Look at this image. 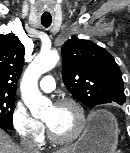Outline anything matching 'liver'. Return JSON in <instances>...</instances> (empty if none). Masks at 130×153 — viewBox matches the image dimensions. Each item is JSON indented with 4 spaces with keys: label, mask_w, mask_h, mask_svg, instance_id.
<instances>
[{
    "label": "liver",
    "mask_w": 130,
    "mask_h": 153,
    "mask_svg": "<svg viewBox=\"0 0 130 153\" xmlns=\"http://www.w3.org/2000/svg\"><path fill=\"white\" fill-rule=\"evenodd\" d=\"M0 153H23L22 149L19 148L9 137V135L0 129ZM57 153H68L67 150H59Z\"/></svg>",
    "instance_id": "obj_1"
}]
</instances>
